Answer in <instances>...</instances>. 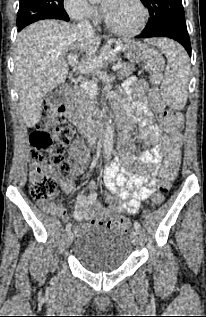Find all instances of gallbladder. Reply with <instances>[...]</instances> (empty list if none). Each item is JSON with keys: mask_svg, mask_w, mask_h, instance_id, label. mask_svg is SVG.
I'll use <instances>...</instances> for the list:
<instances>
[{"mask_svg": "<svg viewBox=\"0 0 206 317\" xmlns=\"http://www.w3.org/2000/svg\"><path fill=\"white\" fill-rule=\"evenodd\" d=\"M67 88L68 85L63 83L50 90L46 95L48 105L51 107L61 105L64 102Z\"/></svg>", "mask_w": 206, "mask_h": 317, "instance_id": "obj_1", "label": "gallbladder"}]
</instances>
